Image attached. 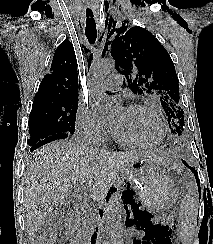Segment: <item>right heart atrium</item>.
I'll return each instance as SVG.
<instances>
[{"label":"right heart atrium","instance_id":"d8ad5b80","mask_svg":"<svg viewBox=\"0 0 213 244\" xmlns=\"http://www.w3.org/2000/svg\"><path fill=\"white\" fill-rule=\"evenodd\" d=\"M110 133V124L97 114L92 105L83 104L78 108L75 130L77 139L91 144H101Z\"/></svg>","mask_w":213,"mask_h":244}]
</instances>
